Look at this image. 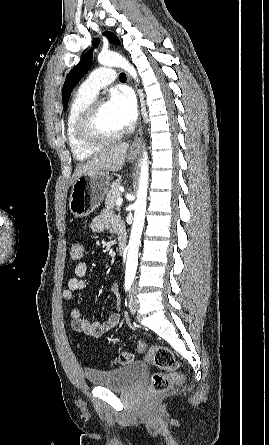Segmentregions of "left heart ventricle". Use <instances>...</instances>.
<instances>
[{
  "label": "left heart ventricle",
  "instance_id": "1",
  "mask_svg": "<svg viewBox=\"0 0 269 445\" xmlns=\"http://www.w3.org/2000/svg\"><path fill=\"white\" fill-rule=\"evenodd\" d=\"M98 125L103 132L107 133H113L123 129L114 117L108 102H103V104L101 105L98 117Z\"/></svg>",
  "mask_w": 269,
  "mask_h": 445
}]
</instances>
